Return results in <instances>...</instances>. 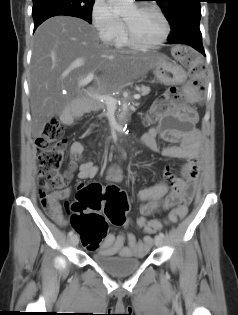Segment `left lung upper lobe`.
<instances>
[{"instance_id":"1","label":"left lung upper lobe","mask_w":238,"mask_h":315,"mask_svg":"<svg viewBox=\"0 0 238 315\" xmlns=\"http://www.w3.org/2000/svg\"><path fill=\"white\" fill-rule=\"evenodd\" d=\"M166 14L171 27L169 37L177 34L190 24H199L201 18V0H155Z\"/></svg>"}]
</instances>
